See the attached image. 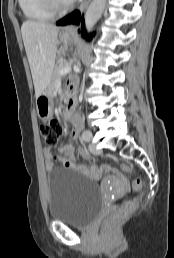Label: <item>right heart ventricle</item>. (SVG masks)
<instances>
[{
	"label": "right heart ventricle",
	"mask_w": 174,
	"mask_h": 258,
	"mask_svg": "<svg viewBox=\"0 0 174 258\" xmlns=\"http://www.w3.org/2000/svg\"><path fill=\"white\" fill-rule=\"evenodd\" d=\"M19 6L24 16L35 22H44L52 18L53 14L46 7L44 0H19Z\"/></svg>",
	"instance_id": "e07e8e85"
}]
</instances>
